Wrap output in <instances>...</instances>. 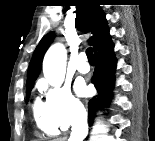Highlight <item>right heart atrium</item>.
Here are the masks:
<instances>
[{
    "label": "right heart atrium",
    "instance_id": "1",
    "mask_svg": "<svg viewBox=\"0 0 155 141\" xmlns=\"http://www.w3.org/2000/svg\"><path fill=\"white\" fill-rule=\"evenodd\" d=\"M42 88L45 90L48 110L59 128L66 130L84 120L85 108L67 85H43Z\"/></svg>",
    "mask_w": 155,
    "mask_h": 141
}]
</instances>
